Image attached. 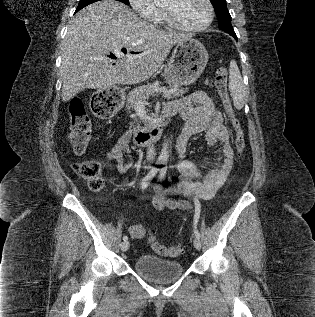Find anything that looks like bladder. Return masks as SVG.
<instances>
[{"label":"bladder","instance_id":"obj_1","mask_svg":"<svg viewBox=\"0 0 315 317\" xmlns=\"http://www.w3.org/2000/svg\"><path fill=\"white\" fill-rule=\"evenodd\" d=\"M134 270L155 283H166L183 274V266L175 260L163 259L151 254H141L133 262Z\"/></svg>","mask_w":315,"mask_h":317}]
</instances>
